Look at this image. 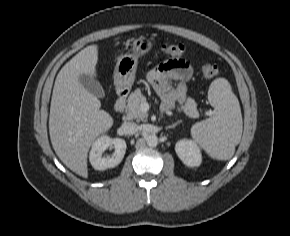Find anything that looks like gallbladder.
<instances>
[{"mask_svg": "<svg viewBox=\"0 0 290 236\" xmlns=\"http://www.w3.org/2000/svg\"><path fill=\"white\" fill-rule=\"evenodd\" d=\"M79 82L88 92L94 94L95 96L99 98H103L105 96L103 87L94 77L83 74L79 77Z\"/></svg>", "mask_w": 290, "mask_h": 236, "instance_id": "bac80fb5", "label": "gallbladder"}]
</instances>
